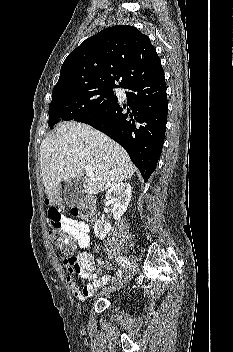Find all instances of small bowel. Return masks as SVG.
Masks as SVG:
<instances>
[{"instance_id":"c3829d8e","label":"small bowel","mask_w":233,"mask_h":352,"mask_svg":"<svg viewBox=\"0 0 233 352\" xmlns=\"http://www.w3.org/2000/svg\"><path fill=\"white\" fill-rule=\"evenodd\" d=\"M47 216L52 227L70 236L78 247L90 248L92 246L90 227L87 223L63 216L52 206H48ZM97 263L104 265L101 259H99ZM63 264L68 271L66 275L67 286L73 296L80 300L87 299L92 296L99 287L118 279L122 275L121 271H117L112 275H103L101 269L96 268L94 256L88 251L80 252L77 257L64 259ZM75 276L89 279L90 282L83 288H80L75 280Z\"/></svg>"}]
</instances>
